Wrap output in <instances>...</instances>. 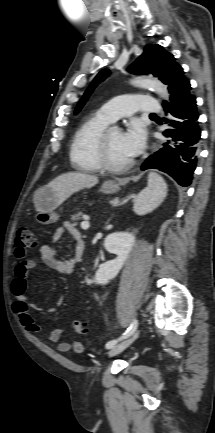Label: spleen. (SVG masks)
Instances as JSON below:
<instances>
[{
    "label": "spleen",
    "instance_id": "spleen-1",
    "mask_svg": "<svg viewBox=\"0 0 215 433\" xmlns=\"http://www.w3.org/2000/svg\"><path fill=\"white\" fill-rule=\"evenodd\" d=\"M167 195V184L157 173H149L148 186L134 200V211L143 215L154 210Z\"/></svg>",
    "mask_w": 215,
    "mask_h": 433
}]
</instances>
